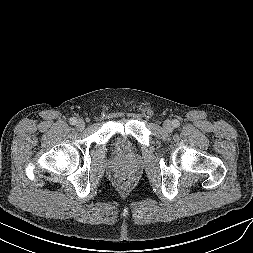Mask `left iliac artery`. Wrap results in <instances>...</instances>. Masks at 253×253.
I'll return each instance as SVG.
<instances>
[{
    "label": "left iliac artery",
    "instance_id": "left-iliac-artery-1",
    "mask_svg": "<svg viewBox=\"0 0 253 253\" xmlns=\"http://www.w3.org/2000/svg\"><path fill=\"white\" fill-rule=\"evenodd\" d=\"M173 126L174 127H179V125H180V123H179V121L178 120H173Z\"/></svg>",
    "mask_w": 253,
    "mask_h": 253
}]
</instances>
